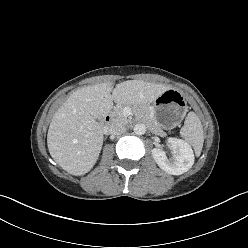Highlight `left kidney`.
Masks as SVG:
<instances>
[{"instance_id": "left-kidney-1", "label": "left kidney", "mask_w": 248, "mask_h": 248, "mask_svg": "<svg viewBox=\"0 0 248 248\" xmlns=\"http://www.w3.org/2000/svg\"><path fill=\"white\" fill-rule=\"evenodd\" d=\"M168 143L174 150L173 157L168 159L166 153L154 148L152 155L157 165L172 175H181L187 172L194 164V154L191 146L177 138H169Z\"/></svg>"}]
</instances>
